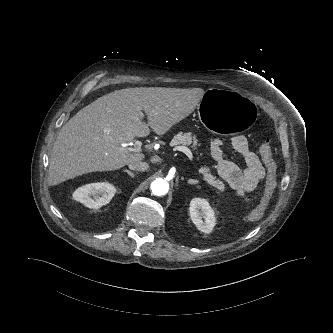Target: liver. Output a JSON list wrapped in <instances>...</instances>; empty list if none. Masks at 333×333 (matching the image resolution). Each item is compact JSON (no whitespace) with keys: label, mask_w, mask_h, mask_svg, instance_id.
Listing matches in <instances>:
<instances>
[{"label":"liver","mask_w":333,"mask_h":333,"mask_svg":"<svg viewBox=\"0 0 333 333\" xmlns=\"http://www.w3.org/2000/svg\"><path fill=\"white\" fill-rule=\"evenodd\" d=\"M204 94L201 88L136 87L96 99L60 129L51 152L50 183L143 160L144 154L129 153L122 145L148 136L149 127L158 135L165 134L194 111ZM142 111L148 123L142 121Z\"/></svg>","instance_id":"obj_1"}]
</instances>
